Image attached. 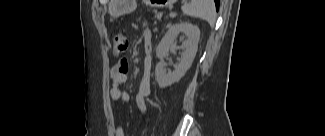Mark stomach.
Masks as SVG:
<instances>
[{"instance_id": "stomach-1", "label": "stomach", "mask_w": 325, "mask_h": 136, "mask_svg": "<svg viewBox=\"0 0 325 136\" xmlns=\"http://www.w3.org/2000/svg\"><path fill=\"white\" fill-rule=\"evenodd\" d=\"M149 5L157 8H165L172 5L175 0H146ZM136 7L135 0H112V14L119 16L131 13Z\"/></svg>"}]
</instances>
